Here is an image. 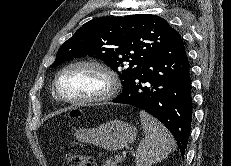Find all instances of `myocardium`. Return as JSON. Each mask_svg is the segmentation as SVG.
<instances>
[{
    "mask_svg": "<svg viewBox=\"0 0 231 166\" xmlns=\"http://www.w3.org/2000/svg\"><path fill=\"white\" fill-rule=\"evenodd\" d=\"M79 66H86V67H92L104 74V76L107 79V87L106 89L98 94L91 97L86 98H66L64 97L59 90L58 82L63 73H65L67 70L79 67ZM119 89V81L118 77L115 73V71L106 63L96 60V59H81V60H75L67 65L63 66L55 75L54 81H53V90L56 95V97L65 103L73 104V105H90V104H98V103H104L111 99H113Z\"/></svg>",
    "mask_w": 231,
    "mask_h": 166,
    "instance_id": "f54148a6",
    "label": "myocardium"
}]
</instances>
